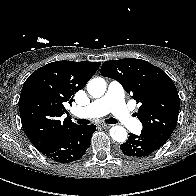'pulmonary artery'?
<instances>
[{"label":"pulmonary artery","mask_w":196,"mask_h":196,"mask_svg":"<svg viewBox=\"0 0 196 196\" xmlns=\"http://www.w3.org/2000/svg\"><path fill=\"white\" fill-rule=\"evenodd\" d=\"M111 112L126 128L137 131L139 123L133 117L124 101L122 86L113 81L109 84L106 94L85 107L74 109L73 113L81 118H96Z\"/></svg>","instance_id":"obj_1"}]
</instances>
